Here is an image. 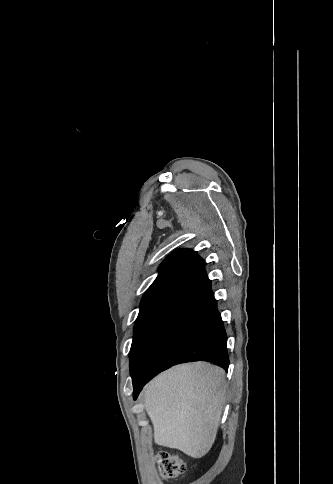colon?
I'll return each instance as SVG.
<instances>
[{"label":"colon","instance_id":"5ec220e1","mask_svg":"<svg viewBox=\"0 0 333 484\" xmlns=\"http://www.w3.org/2000/svg\"><path fill=\"white\" fill-rule=\"evenodd\" d=\"M156 462L162 477L173 479L182 475L186 470V464L178 455L170 452H160L156 456Z\"/></svg>","mask_w":333,"mask_h":484}]
</instances>
